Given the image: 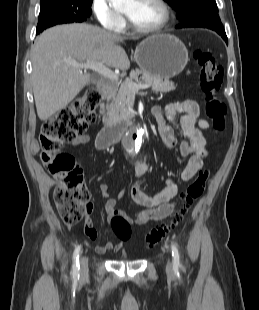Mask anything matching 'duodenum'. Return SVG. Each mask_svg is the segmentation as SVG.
<instances>
[{"mask_svg":"<svg viewBox=\"0 0 259 310\" xmlns=\"http://www.w3.org/2000/svg\"><path fill=\"white\" fill-rule=\"evenodd\" d=\"M114 84L112 82H104L99 85L100 92L103 97H107ZM135 113L131 112L126 119L118 122L107 124L99 133L97 138V145L106 147L114 144L121 136L131 129L132 119Z\"/></svg>","mask_w":259,"mask_h":310,"instance_id":"obj_1","label":"duodenum"}]
</instances>
